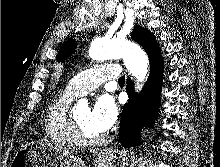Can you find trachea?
Masks as SVG:
<instances>
[{"mask_svg": "<svg viewBox=\"0 0 220 167\" xmlns=\"http://www.w3.org/2000/svg\"><path fill=\"white\" fill-rule=\"evenodd\" d=\"M118 83L119 84H124L125 83V76L120 77L119 80H118Z\"/></svg>", "mask_w": 220, "mask_h": 167, "instance_id": "trachea-1", "label": "trachea"}]
</instances>
